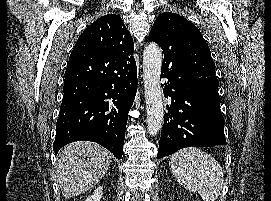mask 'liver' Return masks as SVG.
<instances>
[{"instance_id": "6515ba94", "label": "liver", "mask_w": 271, "mask_h": 201, "mask_svg": "<svg viewBox=\"0 0 271 201\" xmlns=\"http://www.w3.org/2000/svg\"><path fill=\"white\" fill-rule=\"evenodd\" d=\"M111 162L108 150L93 142H74L59 153L55 178L62 195L73 198L93 188Z\"/></svg>"}]
</instances>
